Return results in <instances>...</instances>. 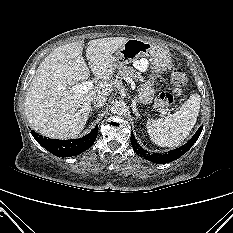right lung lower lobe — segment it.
Instances as JSON below:
<instances>
[{"mask_svg":"<svg viewBox=\"0 0 233 233\" xmlns=\"http://www.w3.org/2000/svg\"><path fill=\"white\" fill-rule=\"evenodd\" d=\"M31 133L42 147H44L55 156L71 157L86 151L92 146L97 137L98 126H95V128L86 136L79 139L70 140L50 139L42 137L34 131H31Z\"/></svg>","mask_w":233,"mask_h":233,"instance_id":"obj_1","label":"right lung lower lobe"}]
</instances>
